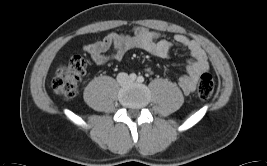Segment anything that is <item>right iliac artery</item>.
I'll return each mask as SVG.
<instances>
[{
	"label": "right iliac artery",
	"instance_id": "right-iliac-artery-1",
	"mask_svg": "<svg viewBox=\"0 0 267 166\" xmlns=\"http://www.w3.org/2000/svg\"><path fill=\"white\" fill-rule=\"evenodd\" d=\"M129 77L131 80H135L137 76L135 73H131Z\"/></svg>",
	"mask_w": 267,
	"mask_h": 166
}]
</instances>
